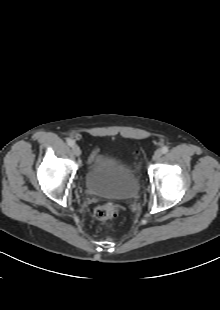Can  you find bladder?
<instances>
[{
  "mask_svg": "<svg viewBox=\"0 0 220 310\" xmlns=\"http://www.w3.org/2000/svg\"><path fill=\"white\" fill-rule=\"evenodd\" d=\"M83 184L90 194L123 200L133 199L140 190L139 178L128 164L110 155L86 171Z\"/></svg>",
  "mask_w": 220,
  "mask_h": 310,
  "instance_id": "1",
  "label": "bladder"
}]
</instances>
